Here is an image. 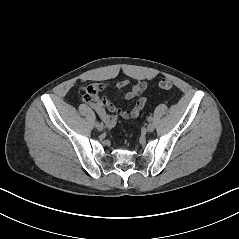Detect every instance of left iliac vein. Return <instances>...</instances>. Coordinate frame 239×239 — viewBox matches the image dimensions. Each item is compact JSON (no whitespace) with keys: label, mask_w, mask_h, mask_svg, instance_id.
Wrapping results in <instances>:
<instances>
[{"label":"left iliac vein","mask_w":239,"mask_h":239,"mask_svg":"<svg viewBox=\"0 0 239 239\" xmlns=\"http://www.w3.org/2000/svg\"><path fill=\"white\" fill-rule=\"evenodd\" d=\"M147 131L148 132H153L154 131V129H155V126H154V124L153 123H149L148 125H147Z\"/></svg>","instance_id":"left-iliac-vein-1"}]
</instances>
